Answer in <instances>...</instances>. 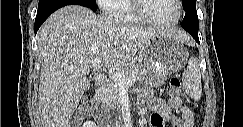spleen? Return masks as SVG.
Listing matches in <instances>:
<instances>
[{
  "mask_svg": "<svg viewBox=\"0 0 243 127\" xmlns=\"http://www.w3.org/2000/svg\"><path fill=\"white\" fill-rule=\"evenodd\" d=\"M186 93L195 101L202 95L201 72L198 59L191 57L188 61L187 69L182 76Z\"/></svg>",
  "mask_w": 243,
  "mask_h": 127,
  "instance_id": "spleen-1",
  "label": "spleen"
}]
</instances>
